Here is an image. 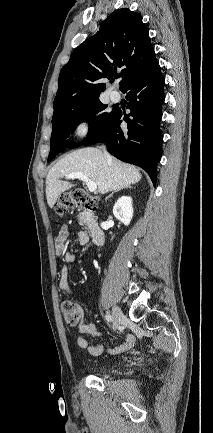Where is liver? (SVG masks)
Masks as SVG:
<instances>
[{"label":"liver","instance_id":"obj_1","mask_svg":"<svg viewBox=\"0 0 213 433\" xmlns=\"http://www.w3.org/2000/svg\"><path fill=\"white\" fill-rule=\"evenodd\" d=\"M73 172L82 173L94 181L100 194L126 188L141 179V174L135 166L111 156L106 157L100 149H78L58 161L46 177V198L51 208L61 193L74 186L73 183L61 180Z\"/></svg>","mask_w":213,"mask_h":433}]
</instances>
